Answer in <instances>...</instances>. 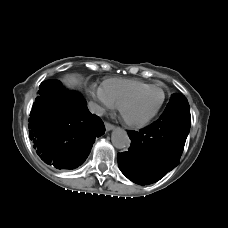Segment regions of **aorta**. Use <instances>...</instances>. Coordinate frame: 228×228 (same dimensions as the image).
Masks as SVG:
<instances>
[{"label":"aorta","mask_w":228,"mask_h":228,"mask_svg":"<svg viewBox=\"0 0 228 228\" xmlns=\"http://www.w3.org/2000/svg\"><path fill=\"white\" fill-rule=\"evenodd\" d=\"M111 141L115 148L126 149L130 145V139L124 129L116 128L111 135Z\"/></svg>","instance_id":"1"}]
</instances>
